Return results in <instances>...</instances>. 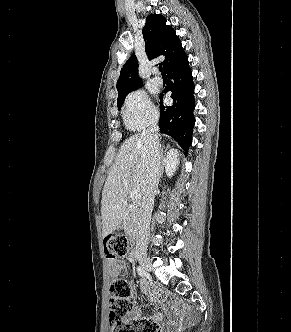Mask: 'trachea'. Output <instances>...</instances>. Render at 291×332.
<instances>
[{"label":"trachea","instance_id":"obj_1","mask_svg":"<svg viewBox=\"0 0 291 332\" xmlns=\"http://www.w3.org/2000/svg\"><path fill=\"white\" fill-rule=\"evenodd\" d=\"M159 70L162 72L163 75L165 74V72L162 69V65L159 66Z\"/></svg>","mask_w":291,"mask_h":332}]
</instances>
